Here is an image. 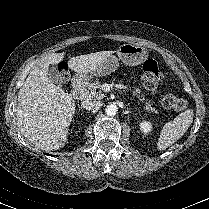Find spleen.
Segmentation results:
<instances>
[{"instance_id": "spleen-1", "label": "spleen", "mask_w": 209, "mask_h": 209, "mask_svg": "<svg viewBox=\"0 0 209 209\" xmlns=\"http://www.w3.org/2000/svg\"><path fill=\"white\" fill-rule=\"evenodd\" d=\"M193 122V110L188 109L179 114L173 121L166 123L160 132L157 149L165 150L180 139Z\"/></svg>"}]
</instances>
